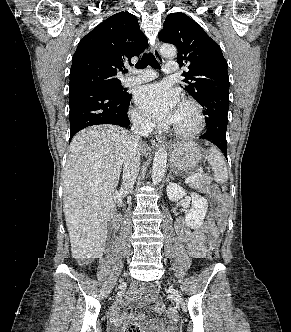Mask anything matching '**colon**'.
<instances>
[{
    "instance_id": "obj_1",
    "label": "colon",
    "mask_w": 291,
    "mask_h": 332,
    "mask_svg": "<svg viewBox=\"0 0 291 332\" xmlns=\"http://www.w3.org/2000/svg\"><path fill=\"white\" fill-rule=\"evenodd\" d=\"M207 192L216 199V211L215 218L216 221L221 224L223 223L227 211V202L225 195L216 187L208 186ZM208 259L215 261L219 257L218 245L215 242H211L208 250ZM126 332H140V328L136 323H129L125 327Z\"/></svg>"
}]
</instances>
